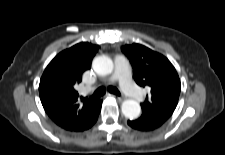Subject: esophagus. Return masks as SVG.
Instances as JSON below:
<instances>
[{
	"mask_svg": "<svg viewBox=\"0 0 225 155\" xmlns=\"http://www.w3.org/2000/svg\"><path fill=\"white\" fill-rule=\"evenodd\" d=\"M111 96L117 99L119 102L123 101V97L121 96H118V95H111Z\"/></svg>",
	"mask_w": 225,
	"mask_h": 155,
	"instance_id": "34e87169",
	"label": "esophagus"
}]
</instances>
